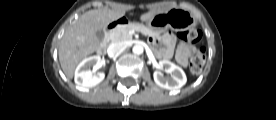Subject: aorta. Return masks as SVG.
Segmentation results:
<instances>
[{
	"mask_svg": "<svg viewBox=\"0 0 276 120\" xmlns=\"http://www.w3.org/2000/svg\"><path fill=\"white\" fill-rule=\"evenodd\" d=\"M132 51L136 55H141L144 51V48L141 44H136V45L133 46Z\"/></svg>",
	"mask_w": 276,
	"mask_h": 120,
	"instance_id": "aorta-1",
	"label": "aorta"
}]
</instances>
